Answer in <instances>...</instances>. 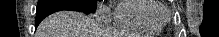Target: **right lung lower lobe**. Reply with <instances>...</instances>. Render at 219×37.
I'll return each mask as SVG.
<instances>
[{"label":"right lung lower lobe","instance_id":"1","mask_svg":"<svg viewBox=\"0 0 219 37\" xmlns=\"http://www.w3.org/2000/svg\"><path fill=\"white\" fill-rule=\"evenodd\" d=\"M61 10H72V11L82 12L81 10L77 9L75 6H72L69 4H54V5L42 8V9H37L36 20H35L36 26H38L39 23L48 15H50L54 12H57V11H61ZM83 13H85V12H83Z\"/></svg>","mask_w":219,"mask_h":37}]
</instances>
